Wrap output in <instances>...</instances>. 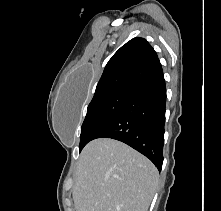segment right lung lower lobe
Instances as JSON below:
<instances>
[{"instance_id": "1", "label": "right lung lower lobe", "mask_w": 221, "mask_h": 211, "mask_svg": "<svg viewBox=\"0 0 221 211\" xmlns=\"http://www.w3.org/2000/svg\"><path fill=\"white\" fill-rule=\"evenodd\" d=\"M165 105L164 77L141 85L93 139L107 137L122 141L149 158L160 171L163 163Z\"/></svg>"}]
</instances>
